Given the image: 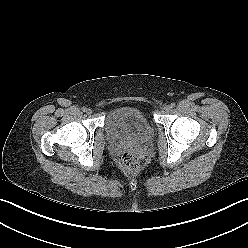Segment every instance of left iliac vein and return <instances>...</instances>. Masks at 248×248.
I'll return each mask as SVG.
<instances>
[{
  "mask_svg": "<svg viewBox=\"0 0 248 248\" xmlns=\"http://www.w3.org/2000/svg\"><path fill=\"white\" fill-rule=\"evenodd\" d=\"M164 110H165L166 112L171 111V105H165V106H164Z\"/></svg>",
  "mask_w": 248,
  "mask_h": 248,
  "instance_id": "left-iliac-vein-1",
  "label": "left iliac vein"
}]
</instances>
